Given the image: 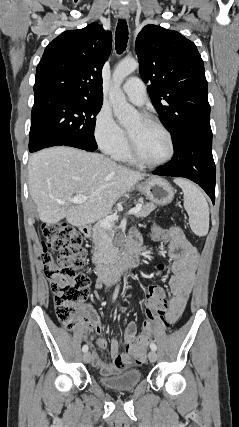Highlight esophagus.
Here are the masks:
<instances>
[{
  "label": "esophagus",
  "instance_id": "34e87169",
  "mask_svg": "<svg viewBox=\"0 0 239 427\" xmlns=\"http://www.w3.org/2000/svg\"><path fill=\"white\" fill-rule=\"evenodd\" d=\"M119 16H120V18H121L122 20H127V19H128V17H129V14H128V13H126V12H121V13L119 14Z\"/></svg>",
  "mask_w": 239,
  "mask_h": 427
}]
</instances>
